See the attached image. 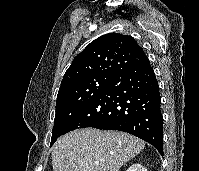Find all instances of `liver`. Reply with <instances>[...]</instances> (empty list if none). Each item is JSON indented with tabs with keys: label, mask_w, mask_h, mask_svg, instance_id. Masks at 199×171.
Here are the masks:
<instances>
[{
	"label": "liver",
	"mask_w": 199,
	"mask_h": 171,
	"mask_svg": "<svg viewBox=\"0 0 199 171\" xmlns=\"http://www.w3.org/2000/svg\"><path fill=\"white\" fill-rule=\"evenodd\" d=\"M144 147L143 140L125 132L74 130L54 144L53 171H119Z\"/></svg>",
	"instance_id": "liver-1"
}]
</instances>
